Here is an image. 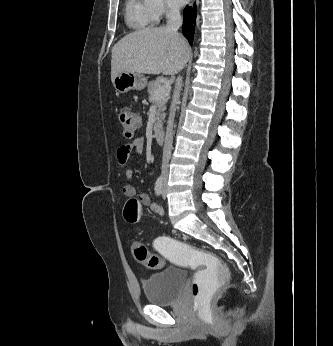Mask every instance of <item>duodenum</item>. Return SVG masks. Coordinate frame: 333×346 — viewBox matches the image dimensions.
Wrapping results in <instances>:
<instances>
[{
    "label": "duodenum",
    "mask_w": 333,
    "mask_h": 346,
    "mask_svg": "<svg viewBox=\"0 0 333 346\" xmlns=\"http://www.w3.org/2000/svg\"><path fill=\"white\" fill-rule=\"evenodd\" d=\"M155 139L158 143H163L165 138V132L162 128H156L154 131Z\"/></svg>",
    "instance_id": "410a0bca"
}]
</instances>
